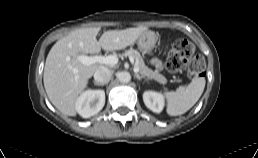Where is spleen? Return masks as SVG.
<instances>
[{
  "label": "spleen",
  "instance_id": "obj_1",
  "mask_svg": "<svg viewBox=\"0 0 258 158\" xmlns=\"http://www.w3.org/2000/svg\"><path fill=\"white\" fill-rule=\"evenodd\" d=\"M205 84V78L197 76L188 86L179 87L176 91H166L167 113L171 116H178L191 109L201 97Z\"/></svg>",
  "mask_w": 258,
  "mask_h": 158
}]
</instances>
